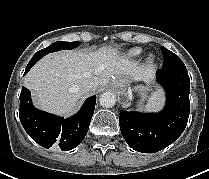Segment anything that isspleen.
I'll return each mask as SVG.
<instances>
[{"label":"spleen","instance_id":"3e777b00","mask_svg":"<svg viewBox=\"0 0 209 179\" xmlns=\"http://www.w3.org/2000/svg\"><path fill=\"white\" fill-rule=\"evenodd\" d=\"M163 103H164L163 94L161 90H157L152 95L148 106L151 110L158 111L162 108Z\"/></svg>","mask_w":209,"mask_h":179}]
</instances>
